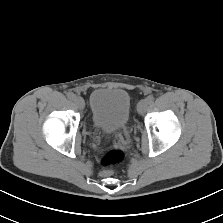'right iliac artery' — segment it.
Returning <instances> with one entry per match:
<instances>
[{"mask_svg": "<svg viewBox=\"0 0 223 223\" xmlns=\"http://www.w3.org/2000/svg\"><path fill=\"white\" fill-rule=\"evenodd\" d=\"M67 97L70 99V100H73L75 98V94L73 92H68L67 93Z\"/></svg>", "mask_w": 223, "mask_h": 223, "instance_id": "1", "label": "right iliac artery"}]
</instances>
